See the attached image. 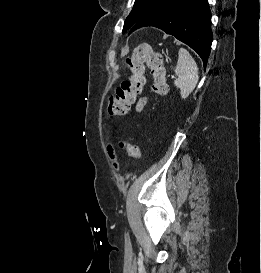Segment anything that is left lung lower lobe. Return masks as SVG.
<instances>
[{
    "label": "left lung lower lobe",
    "mask_w": 261,
    "mask_h": 273,
    "mask_svg": "<svg viewBox=\"0 0 261 273\" xmlns=\"http://www.w3.org/2000/svg\"><path fill=\"white\" fill-rule=\"evenodd\" d=\"M145 26L157 27L190 46L206 67L213 40L207 0H169L133 25L130 33Z\"/></svg>",
    "instance_id": "1"
}]
</instances>
